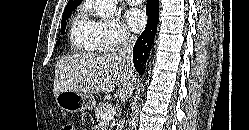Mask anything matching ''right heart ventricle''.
Segmentation results:
<instances>
[{"instance_id": "e07e8e85", "label": "right heart ventricle", "mask_w": 249, "mask_h": 130, "mask_svg": "<svg viewBox=\"0 0 249 130\" xmlns=\"http://www.w3.org/2000/svg\"><path fill=\"white\" fill-rule=\"evenodd\" d=\"M70 42L74 49L81 52L103 50L97 22L89 18L85 8L81 9L73 19L70 28Z\"/></svg>"}]
</instances>
